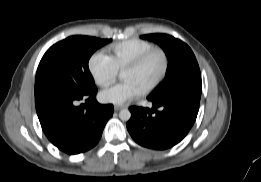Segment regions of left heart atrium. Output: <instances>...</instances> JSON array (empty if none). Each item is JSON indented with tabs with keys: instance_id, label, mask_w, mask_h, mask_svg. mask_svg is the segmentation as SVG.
I'll return each instance as SVG.
<instances>
[{
	"instance_id": "obj_1",
	"label": "left heart atrium",
	"mask_w": 261,
	"mask_h": 182,
	"mask_svg": "<svg viewBox=\"0 0 261 182\" xmlns=\"http://www.w3.org/2000/svg\"><path fill=\"white\" fill-rule=\"evenodd\" d=\"M143 92L138 85L131 81H123L99 93V99L104 103L123 105Z\"/></svg>"
}]
</instances>
